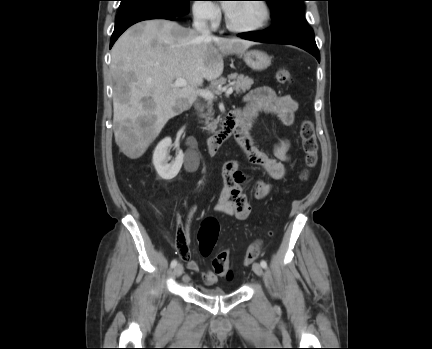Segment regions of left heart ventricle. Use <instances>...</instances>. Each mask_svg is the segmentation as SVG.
I'll use <instances>...</instances> for the list:
<instances>
[{
  "label": "left heart ventricle",
  "mask_w": 432,
  "mask_h": 349,
  "mask_svg": "<svg viewBox=\"0 0 432 349\" xmlns=\"http://www.w3.org/2000/svg\"><path fill=\"white\" fill-rule=\"evenodd\" d=\"M228 15L233 24L249 27L258 24L262 20L264 11L259 2H241L234 3L228 11Z\"/></svg>",
  "instance_id": "b2bd125f"
}]
</instances>
